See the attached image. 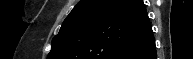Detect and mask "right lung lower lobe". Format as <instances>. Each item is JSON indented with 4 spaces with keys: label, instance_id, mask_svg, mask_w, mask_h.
<instances>
[{
    "label": "right lung lower lobe",
    "instance_id": "obj_1",
    "mask_svg": "<svg viewBox=\"0 0 193 59\" xmlns=\"http://www.w3.org/2000/svg\"><path fill=\"white\" fill-rule=\"evenodd\" d=\"M123 59H156L154 36L152 35L140 48L124 56Z\"/></svg>",
    "mask_w": 193,
    "mask_h": 59
}]
</instances>
